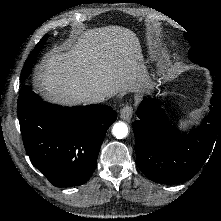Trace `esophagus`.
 Listing matches in <instances>:
<instances>
[{
	"instance_id": "obj_1",
	"label": "esophagus",
	"mask_w": 221,
	"mask_h": 221,
	"mask_svg": "<svg viewBox=\"0 0 221 221\" xmlns=\"http://www.w3.org/2000/svg\"><path fill=\"white\" fill-rule=\"evenodd\" d=\"M132 115H133V108L132 106L128 104H126L120 111V117L123 120L130 121L132 118Z\"/></svg>"
}]
</instances>
